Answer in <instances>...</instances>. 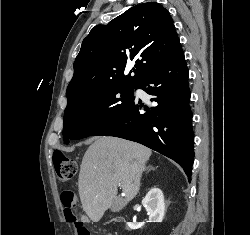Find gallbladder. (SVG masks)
<instances>
[{"label":"gallbladder","mask_w":250,"mask_h":235,"mask_svg":"<svg viewBox=\"0 0 250 235\" xmlns=\"http://www.w3.org/2000/svg\"><path fill=\"white\" fill-rule=\"evenodd\" d=\"M123 208V205L121 204V200H114L112 202V205L110 207L111 211L118 212Z\"/></svg>","instance_id":"bac80fb5"}]
</instances>
